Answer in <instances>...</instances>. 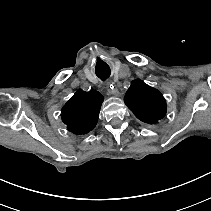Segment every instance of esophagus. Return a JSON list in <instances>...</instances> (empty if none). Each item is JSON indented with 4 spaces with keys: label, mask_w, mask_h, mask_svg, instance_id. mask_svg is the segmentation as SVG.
I'll use <instances>...</instances> for the list:
<instances>
[{
    "label": "esophagus",
    "mask_w": 211,
    "mask_h": 211,
    "mask_svg": "<svg viewBox=\"0 0 211 211\" xmlns=\"http://www.w3.org/2000/svg\"><path fill=\"white\" fill-rule=\"evenodd\" d=\"M107 91L110 93V94H114V95H118L119 94V91L117 88H114V89H111L109 87V83H107V87H106Z\"/></svg>",
    "instance_id": "1"
}]
</instances>
